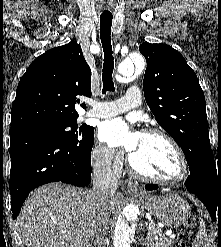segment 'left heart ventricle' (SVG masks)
Instances as JSON below:
<instances>
[{
    "mask_svg": "<svg viewBox=\"0 0 221 247\" xmlns=\"http://www.w3.org/2000/svg\"><path fill=\"white\" fill-rule=\"evenodd\" d=\"M130 157L143 173L162 179H174L181 174L176 151L161 137L142 133Z\"/></svg>",
    "mask_w": 221,
    "mask_h": 247,
    "instance_id": "obj_1",
    "label": "left heart ventricle"
}]
</instances>
